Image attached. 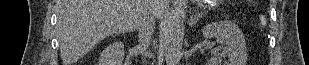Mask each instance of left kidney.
<instances>
[{"instance_id": "obj_1", "label": "left kidney", "mask_w": 309, "mask_h": 65, "mask_svg": "<svg viewBox=\"0 0 309 65\" xmlns=\"http://www.w3.org/2000/svg\"><path fill=\"white\" fill-rule=\"evenodd\" d=\"M202 34L204 38L215 37L217 43L226 45L220 55L210 59V65H246L245 37L235 23L231 21L212 22L203 27Z\"/></svg>"}]
</instances>
